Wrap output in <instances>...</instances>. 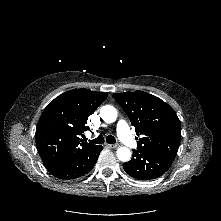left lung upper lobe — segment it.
Returning <instances> with one entry per match:
<instances>
[{"mask_svg": "<svg viewBox=\"0 0 221 221\" xmlns=\"http://www.w3.org/2000/svg\"><path fill=\"white\" fill-rule=\"evenodd\" d=\"M113 97L130 118L137 136H141L139 150L176 157L181 140V125L167 103L142 91L115 93Z\"/></svg>", "mask_w": 221, "mask_h": 221, "instance_id": "1", "label": "left lung upper lobe"}]
</instances>
